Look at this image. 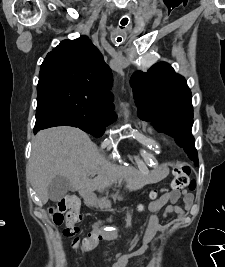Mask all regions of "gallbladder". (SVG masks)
Wrapping results in <instances>:
<instances>
[{
	"instance_id": "1",
	"label": "gallbladder",
	"mask_w": 225,
	"mask_h": 267,
	"mask_svg": "<svg viewBox=\"0 0 225 267\" xmlns=\"http://www.w3.org/2000/svg\"><path fill=\"white\" fill-rule=\"evenodd\" d=\"M72 190L70 182L63 176H56L48 186V196L51 201L61 200L65 194Z\"/></svg>"
}]
</instances>
